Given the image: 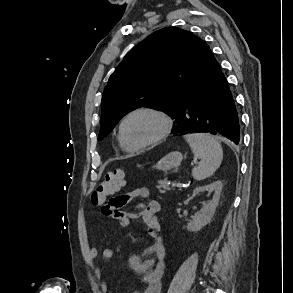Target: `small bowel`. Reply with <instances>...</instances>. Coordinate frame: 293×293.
I'll return each instance as SVG.
<instances>
[{"label":"small bowel","instance_id":"obj_1","mask_svg":"<svg viewBox=\"0 0 293 293\" xmlns=\"http://www.w3.org/2000/svg\"><path fill=\"white\" fill-rule=\"evenodd\" d=\"M149 195L150 192L146 187H138L128 193L113 197L115 203L109 201L103 205L104 212L116 219L122 228H127L134 219H142L151 238L150 246L143 253H134L129 257L130 268L141 275L139 288L131 293L161 292V279L165 265V239L157 217L161 208L160 203L157 200H151L139 204L137 212L123 210V207L134 198L147 199ZM86 254L90 261L95 260L98 255V250L92 244L88 230H86ZM113 256V248L103 249L102 257L104 259H111ZM99 276L100 274H98ZM101 288L106 291L107 283H102Z\"/></svg>","mask_w":293,"mask_h":293}]
</instances>
